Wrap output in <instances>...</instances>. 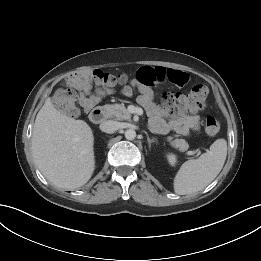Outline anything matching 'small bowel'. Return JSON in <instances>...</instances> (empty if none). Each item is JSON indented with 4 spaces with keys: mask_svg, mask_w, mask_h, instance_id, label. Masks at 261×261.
Returning a JSON list of instances; mask_svg holds the SVG:
<instances>
[{
    "mask_svg": "<svg viewBox=\"0 0 261 261\" xmlns=\"http://www.w3.org/2000/svg\"><path fill=\"white\" fill-rule=\"evenodd\" d=\"M89 77V73H82L68 78V83L79 91V103L85 110H90L100 100V97L91 93ZM189 79V74L180 70L160 66H145L137 71L136 82L125 86L122 93L131 96L135 90L138 91V102L146 109L151 124L157 132L166 133L172 130L182 136H189L192 132L200 130V117L196 113L189 112L170 113L166 108L153 102L150 89V87L164 82L183 86Z\"/></svg>",
    "mask_w": 261,
    "mask_h": 261,
    "instance_id": "1",
    "label": "small bowel"
}]
</instances>
